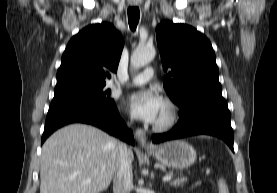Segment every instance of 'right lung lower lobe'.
<instances>
[{"label": "right lung lower lobe", "mask_w": 277, "mask_h": 193, "mask_svg": "<svg viewBox=\"0 0 277 193\" xmlns=\"http://www.w3.org/2000/svg\"><path fill=\"white\" fill-rule=\"evenodd\" d=\"M76 122L94 125L132 145L135 144L133 134L126 128L115 104L104 106L71 97L53 98L47 113L41 144L58 128Z\"/></svg>", "instance_id": "98d812e1"}]
</instances>
